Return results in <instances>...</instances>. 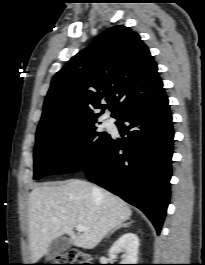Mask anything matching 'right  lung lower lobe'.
Wrapping results in <instances>:
<instances>
[{
    "label": "right lung lower lobe",
    "instance_id": "obj_1",
    "mask_svg": "<svg viewBox=\"0 0 205 265\" xmlns=\"http://www.w3.org/2000/svg\"><path fill=\"white\" fill-rule=\"evenodd\" d=\"M119 132L83 169L87 178L141 209L160 233L170 198L173 122L164 89L117 118Z\"/></svg>",
    "mask_w": 205,
    "mask_h": 265
}]
</instances>
